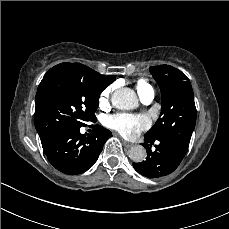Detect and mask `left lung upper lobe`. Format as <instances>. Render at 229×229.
Instances as JSON below:
<instances>
[{
	"instance_id": "1",
	"label": "left lung upper lobe",
	"mask_w": 229,
	"mask_h": 229,
	"mask_svg": "<svg viewBox=\"0 0 229 229\" xmlns=\"http://www.w3.org/2000/svg\"><path fill=\"white\" fill-rule=\"evenodd\" d=\"M150 73L161 90V114L145 136L169 140L187 150L197 114L189 79L170 65L152 66Z\"/></svg>"
}]
</instances>
